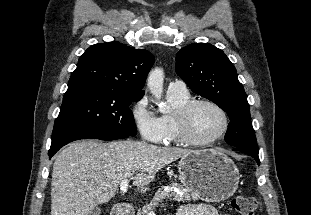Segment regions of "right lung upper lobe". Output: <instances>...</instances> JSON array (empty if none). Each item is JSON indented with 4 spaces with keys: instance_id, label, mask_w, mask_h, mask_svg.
I'll return each instance as SVG.
<instances>
[{
    "instance_id": "obj_1",
    "label": "right lung upper lobe",
    "mask_w": 311,
    "mask_h": 215,
    "mask_svg": "<svg viewBox=\"0 0 311 215\" xmlns=\"http://www.w3.org/2000/svg\"><path fill=\"white\" fill-rule=\"evenodd\" d=\"M154 61L145 49L119 42L95 44L80 57L68 87L90 85L144 95L141 89Z\"/></svg>"
}]
</instances>
